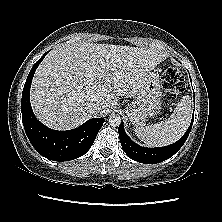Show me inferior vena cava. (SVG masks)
<instances>
[{
  "mask_svg": "<svg viewBox=\"0 0 222 222\" xmlns=\"http://www.w3.org/2000/svg\"><path fill=\"white\" fill-rule=\"evenodd\" d=\"M88 106L93 113H98L101 109V104L95 102L88 103Z\"/></svg>",
  "mask_w": 222,
  "mask_h": 222,
  "instance_id": "602c4592",
  "label": "inferior vena cava"
}]
</instances>
